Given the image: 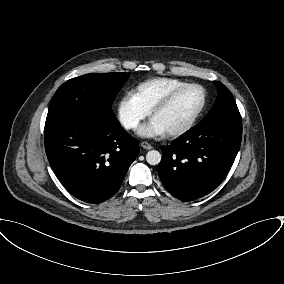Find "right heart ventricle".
Listing matches in <instances>:
<instances>
[{
	"label": "right heart ventricle",
	"instance_id": "right-heart-ventricle-1",
	"mask_svg": "<svg viewBox=\"0 0 284 284\" xmlns=\"http://www.w3.org/2000/svg\"><path fill=\"white\" fill-rule=\"evenodd\" d=\"M187 84L177 78L157 77L140 83L133 94L138 101L150 112L153 107L174 89Z\"/></svg>",
	"mask_w": 284,
	"mask_h": 284
}]
</instances>
